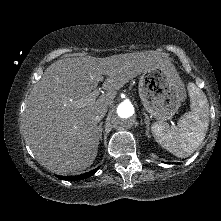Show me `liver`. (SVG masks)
Here are the masks:
<instances>
[{
	"label": "liver",
	"mask_w": 221,
	"mask_h": 221,
	"mask_svg": "<svg viewBox=\"0 0 221 221\" xmlns=\"http://www.w3.org/2000/svg\"><path fill=\"white\" fill-rule=\"evenodd\" d=\"M171 67L169 60L143 52L55 61L33 86L25 106L23 129L38 162L57 174L90 167L98 152L99 110L110 106L117 91L144 71ZM102 75L107 76L102 85L106 92L88 101Z\"/></svg>",
	"instance_id": "6515ba94"
}]
</instances>
